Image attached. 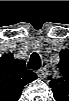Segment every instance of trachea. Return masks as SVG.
<instances>
[{"instance_id":"3493384b","label":"trachea","mask_w":69,"mask_h":101,"mask_svg":"<svg viewBox=\"0 0 69 101\" xmlns=\"http://www.w3.org/2000/svg\"><path fill=\"white\" fill-rule=\"evenodd\" d=\"M41 67V58L38 53L31 54L27 68L31 70H38Z\"/></svg>"}]
</instances>
